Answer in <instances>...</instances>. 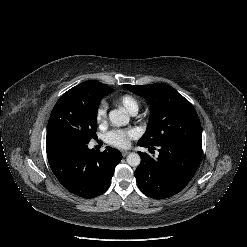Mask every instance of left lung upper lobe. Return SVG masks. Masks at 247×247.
I'll list each match as a JSON object with an SVG mask.
<instances>
[{"mask_svg":"<svg viewBox=\"0 0 247 247\" xmlns=\"http://www.w3.org/2000/svg\"><path fill=\"white\" fill-rule=\"evenodd\" d=\"M150 104L146 132L138 145H161L176 142L202 145V129L192 104L165 83L124 85Z\"/></svg>","mask_w":247,"mask_h":247,"instance_id":"5c2ea615","label":"left lung upper lobe"}]
</instances>
